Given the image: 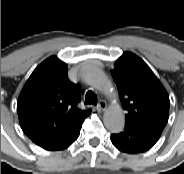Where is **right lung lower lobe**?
Segmentation results:
<instances>
[{
	"label": "right lung lower lobe",
	"mask_w": 184,
	"mask_h": 174,
	"mask_svg": "<svg viewBox=\"0 0 184 174\" xmlns=\"http://www.w3.org/2000/svg\"><path fill=\"white\" fill-rule=\"evenodd\" d=\"M81 126H82V123H80L79 125L75 126L73 129H71L68 132V134H66L61 139L43 148L46 150H52V151L62 150L67 148L78 138L80 134Z\"/></svg>",
	"instance_id": "right-lung-lower-lobe-1"
}]
</instances>
